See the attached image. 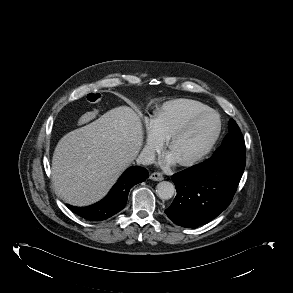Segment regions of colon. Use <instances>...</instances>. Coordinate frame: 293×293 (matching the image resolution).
Here are the masks:
<instances>
[{
  "instance_id": "5ec220e1",
  "label": "colon",
  "mask_w": 293,
  "mask_h": 293,
  "mask_svg": "<svg viewBox=\"0 0 293 293\" xmlns=\"http://www.w3.org/2000/svg\"><path fill=\"white\" fill-rule=\"evenodd\" d=\"M86 99L89 103L99 105L103 101V96L99 92H91L87 94ZM98 114L99 109H92L90 111H87L79 117L78 123L81 125L86 124L94 120L98 116Z\"/></svg>"
}]
</instances>
